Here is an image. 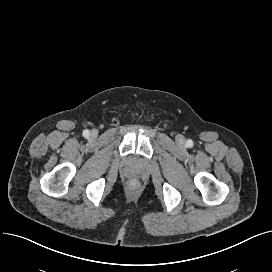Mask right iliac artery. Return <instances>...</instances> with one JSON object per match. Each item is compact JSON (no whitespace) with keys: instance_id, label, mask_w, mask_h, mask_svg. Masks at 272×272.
I'll list each match as a JSON object with an SVG mask.
<instances>
[{"instance_id":"right-iliac-artery-1","label":"right iliac artery","mask_w":272,"mask_h":272,"mask_svg":"<svg viewBox=\"0 0 272 272\" xmlns=\"http://www.w3.org/2000/svg\"><path fill=\"white\" fill-rule=\"evenodd\" d=\"M83 136H84V137H88V136H89V130H87V129L84 130V131H83Z\"/></svg>"}]
</instances>
